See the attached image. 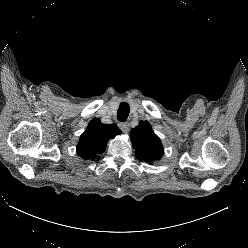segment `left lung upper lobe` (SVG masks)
Wrapping results in <instances>:
<instances>
[{
    "instance_id": "5c2ea615",
    "label": "left lung upper lobe",
    "mask_w": 248,
    "mask_h": 248,
    "mask_svg": "<svg viewBox=\"0 0 248 248\" xmlns=\"http://www.w3.org/2000/svg\"><path fill=\"white\" fill-rule=\"evenodd\" d=\"M130 138L136 157L148 163L160 160L164 154L163 146L159 137L154 134L150 123L141 121L138 126L131 130Z\"/></svg>"
}]
</instances>
